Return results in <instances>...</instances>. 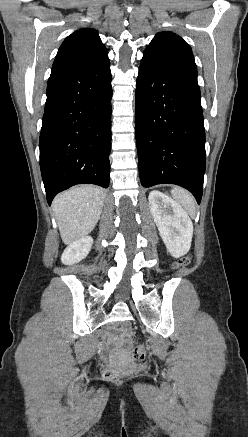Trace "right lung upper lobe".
Here are the masks:
<instances>
[{"instance_id":"cb5924a9","label":"right lung upper lobe","mask_w":248,"mask_h":437,"mask_svg":"<svg viewBox=\"0 0 248 437\" xmlns=\"http://www.w3.org/2000/svg\"><path fill=\"white\" fill-rule=\"evenodd\" d=\"M109 61L108 51L96 30L79 29L60 46L54 60L55 69H87Z\"/></svg>"}]
</instances>
